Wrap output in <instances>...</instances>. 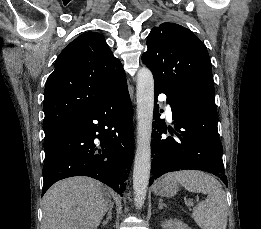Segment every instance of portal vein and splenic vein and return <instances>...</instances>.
Wrapping results in <instances>:
<instances>
[{
  "instance_id": "18ae733b",
  "label": "portal vein and splenic vein",
  "mask_w": 261,
  "mask_h": 229,
  "mask_svg": "<svg viewBox=\"0 0 261 229\" xmlns=\"http://www.w3.org/2000/svg\"><path fill=\"white\" fill-rule=\"evenodd\" d=\"M190 207H193V203H189Z\"/></svg>"
}]
</instances>
